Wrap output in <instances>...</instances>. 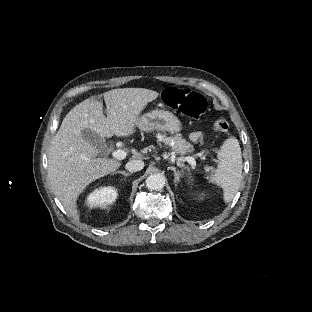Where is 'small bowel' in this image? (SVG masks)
I'll return each mask as SVG.
<instances>
[{
	"label": "small bowel",
	"instance_id": "c3829d8e",
	"mask_svg": "<svg viewBox=\"0 0 312 312\" xmlns=\"http://www.w3.org/2000/svg\"><path fill=\"white\" fill-rule=\"evenodd\" d=\"M203 137V132L200 130H196L190 134V140L192 142H198Z\"/></svg>",
	"mask_w": 312,
	"mask_h": 312
}]
</instances>
